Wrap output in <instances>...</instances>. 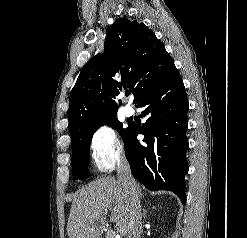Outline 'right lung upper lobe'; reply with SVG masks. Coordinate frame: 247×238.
<instances>
[{
    "mask_svg": "<svg viewBox=\"0 0 247 238\" xmlns=\"http://www.w3.org/2000/svg\"><path fill=\"white\" fill-rule=\"evenodd\" d=\"M174 67L152 30L137 21L118 19L106 32L104 54L86 64L70 93L72 145L91 128L115 117L118 105L113 99L122 87L132 90L136 105Z\"/></svg>",
    "mask_w": 247,
    "mask_h": 238,
    "instance_id": "obj_1",
    "label": "right lung upper lobe"
}]
</instances>
